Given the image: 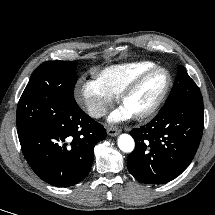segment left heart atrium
<instances>
[{
    "mask_svg": "<svg viewBox=\"0 0 215 215\" xmlns=\"http://www.w3.org/2000/svg\"><path fill=\"white\" fill-rule=\"evenodd\" d=\"M129 116V112L124 107H121L111 113L109 120L111 122H121L126 120Z\"/></svg>",
    "mask_w": 215,
    "mask_h": 215,
    "instance_id": "left-heart-atrium-1",
    "label": "left heart atrium"
}]
</instances>
